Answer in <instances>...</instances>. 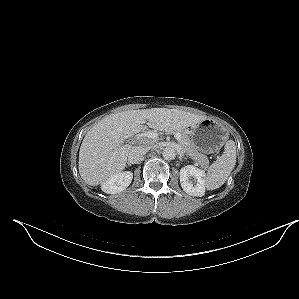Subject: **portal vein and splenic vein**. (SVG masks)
<instances>
[{"mask_svg":"<svg viewBox=\"0 0 299 299\" xmlns=\"http://www.w3.org/2000/svg\"><path fill=\"white\" fill-rule=\"evenodd\" d=\"M140 137H148L150 139L155 140V139H157L158 134L155 133V132H152V131H148V132L142 133L140 135ZM174 138L177 139V140H180L181 135L179 133H176V134H174Z\"/></svg>","mask_w":299,"mask_h":299,"instance_id":"obj_1","label":"portal vein and splenic vein"}]
</instances>
